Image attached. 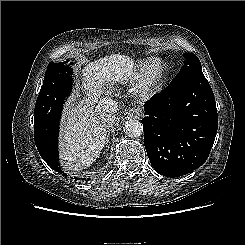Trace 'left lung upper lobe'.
<instances>
[{"instance_id": "5c2ea615", "label": "left lung upper lobe", "mask_w": 245, "mask_h": 245, "mask_svg": "<svg viewBox=\"0 0 245 245\" xmlns=\"http://www.w3.org/2000/svg\"><path fill=\"white\" fill-rule=\"evenodd\" d=\"M184 58L185 63L183 67L171 81L169 86L181 83L196 76L203 75L201 63L196 55L193 53H184Z\"/></svg>"}]
</instances>
